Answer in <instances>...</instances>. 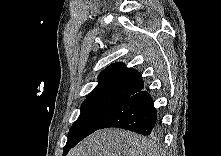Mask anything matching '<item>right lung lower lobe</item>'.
I'll return each instance as SVG.
<instances>
[{
  "instance_id": "1",
  "label": "right lung lower lobe",
  "mask_w": 221,
  "mask_h": 156,
  "mask_svg": "<svg viewBox=\"0 0 221 156\" xmlns=\"http://www.w3.org/2000/svg\"><path fill=\"white\" fill-rule=\"evenodd\" d=\"M159 126L154 101L148 92L142 90L118 105L99 129L118 127L150 135L156 134Z\"/></svg>"
}]
</instances>
